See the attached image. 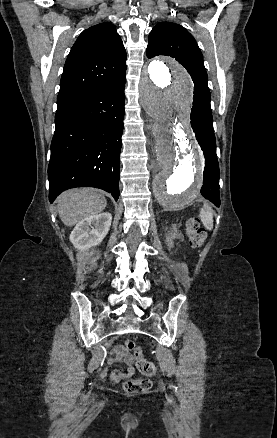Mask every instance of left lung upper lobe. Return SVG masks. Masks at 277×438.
I'll use <instances>...</instances> for the list:
<instances>
[{"label":"left lung upper lobe","mask_w":277,"mask_h":438,"mask_svg":"<svg viewBox=\"0 0 277 438\" xmlns=\"http://www.w3.org/2000/svg\"><path fill=\"white\" fill-rule=\"evenodd\" d=\"M148 41L147 57L167 55L175 58L194 82L193 108L211 111L203 56L193 36L179 24L162 22L152 29Z\"/></svg>","instance_id":"1"}]
</instances>
